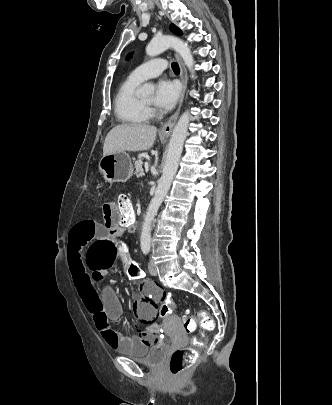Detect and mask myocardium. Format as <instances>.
Masks as SVG:
<instances>
[{"mask_svg":"<svg viewBox=\"0 0 332 405\" xmlns=\"http://www.w3.org/2000/svg\"><path fill=\"white\" fill-rule=\"evenodd\" d=\"M143 103H144V105H145V107H146L147 109H150V108H151V104L145 103L144 101H143Z\"/></svg>","mask_w":332,"mask_h":405,"instance_id":"1","label":"myocardium"}]
</instances>
